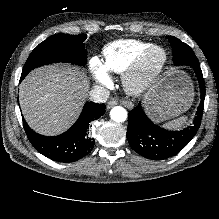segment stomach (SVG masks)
Here are the masks:
<instances>
[{"mask_svg":"<svg viewBox=\"0 0 219 219\" xmlns=\"http://www.w3.org/2000/svg\"><path fill=\"white\" fill-rule=\"evenodd\" d=\"M172 91H170V92H168V93H165V97H169L168 99H166V98H163V99H161V98H159L158 99V101H156V103H155V105H156V108L159 110V111H163L164 110V107L166 108V106L165 105H167V101H169L170 100V98H171V93ZM168 108V107H167ZM168 109H170V108H168Z\"/></svg>","mask_w":219,"mask_h":219,"instance_id":"1","label":"stomach"}]
</instances>
